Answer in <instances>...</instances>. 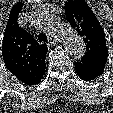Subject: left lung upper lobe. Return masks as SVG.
<instances>
[{
    "mask_svg": "<svg viewBox=\"0 0 113 113\" xmlns=\"http://www.w3.org/2000/svg\"><path fill=\"white\" fill-rule=\"evenodd\" d=\"M65 14L86 44V53L78 62L104 70L108 57L105 33L91 8L84 0H69Z\"/></svg>",
    "mask_w": 113,
    "mask_h": 113,
    "instance_id": "1",
    "label": "left lung upper lobe"
}]
</instances>
